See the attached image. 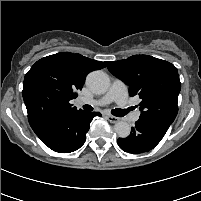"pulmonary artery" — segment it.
Returning a JSON list of instances; mask_svg holds the SVG:
<instances>
[{
    "instance_id": "e3ab8cb5",
    "label": "pulmonary artery",
    "mask_w": 201,
    "mask_h": 201,
    "mask_svg": "<svg viewBox=\"0 0 201 201\" xmlns=\"http://www.w3.org/2000/svg\"><path fill=\"white\" fill-rule=\"evenodd\" d=\"M127 87L121 80H114L107 91V93L102 96L101 98L91 101L89 103L98 105V106H105L107 104H110L112 102L117 103L119 106L126 108L127 104ZM81 102H85L84 100H81ZM140 118V112L136 111L131 114L130 120L132 122L138 121Z\"/></svg>"
}]
</instances>
